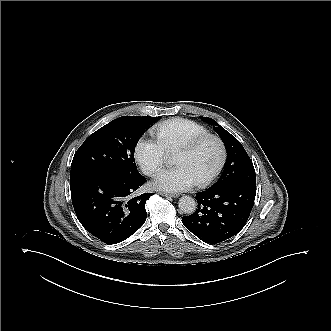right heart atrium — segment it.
Returning a JSON list of instances; mask_svg holds the SVG:
<instances>
[{
	"instance_id": "obj_1",
	"label": "right heart atrium",
	"mask_w": 331,
	"mask_h": 331,
	"mask_svg": "<svg viewBox=\"0 0 331 331\" xmlns=\"http://www.w3.org/2000/svg\"><path fill=\"white\" fill-rule=\"evenodd\" d=\"M164 147L156 141H140L137 147V158L141 169L147 173L159 169L164 162Z\"/></svg>"
}]
</instances>
